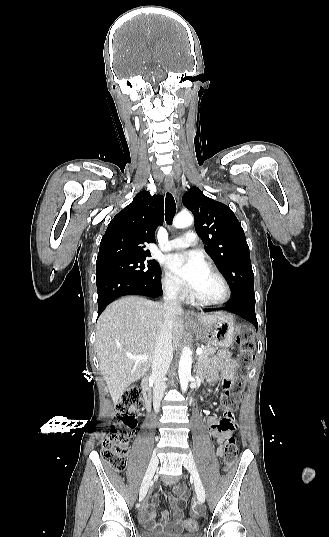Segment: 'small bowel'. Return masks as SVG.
I'll return each instance as SVG.
<instances>
[{
  "label": "small bowel",
  "instance_id": "small-bowel-1",
  "mask_svg": "<svg viewBox=\"0 0 329 537\" xmlns=\"http://www.w3.org/2000/svg\"><path fill=\"white\" fill-rule=\"evenodd\" d=\"M237 363L228 353L218 354L210 364L209 380L215 381L219 376L223 379L220 386L222 392L227 393L231 390L232 381L236 376ZM207 425L210 435L216 440L218 446L217 455L223 457V443L226 434L220 430L218 421L214 417H209ZM176 496L169 495L168 501L173 507V519H170L169 513H161V520L156 521V508L159 504L158 494H155L150 502H145L141 508V521L148 530L162 533L167 532L176 534L181 532L185 527L183 523L184 505L187 500V489L184 486L175 487Z\"/></svg>",
  "mask_w": 329,
  "mask_h": 537
}]
</instances>
